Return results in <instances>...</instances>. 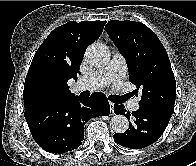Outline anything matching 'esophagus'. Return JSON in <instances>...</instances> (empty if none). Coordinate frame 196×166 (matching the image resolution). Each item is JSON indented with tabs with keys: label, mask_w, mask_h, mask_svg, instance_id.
<instances>
[{
	"label": "esophagus",
	"mask_w": 196,
	"mask_h": 166,
	"mask_svg": "<svg viewBox=\"0 0 196 166\" xmlns=\"http://www.w3.org/2000/svg\"><path fill=\"white\" fill-rule=\"evenodd\" d=\"M109 105H110V109H111L112 114H114V103L109 102Z\"/></svg>",
	"instance_id": "obj_1"
}]
</instances>
